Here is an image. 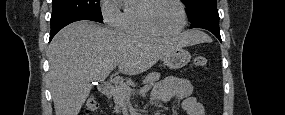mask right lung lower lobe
I'll return each mask as SVG.
<instances>
[{"instance_id":"1","label":"right lung lower lobe","mask_w":285,"mask_h":115,"mask_svg":"<svg viewBox=\"0 0 285 115\" xmlns=\"http://www.w3.org/2000/svg\"><path fill=\"white\" fill-rule=\"evenodd\" d=\"M78 20H83V18H72V19H67V20H64L62 22H59L53 26H51V32H50V40L55 36V34L61 30L63 27H65L66 25L72 23V22H75V21H78ZM87 20V19H86Z\"/></svg>"}]
</instances>
